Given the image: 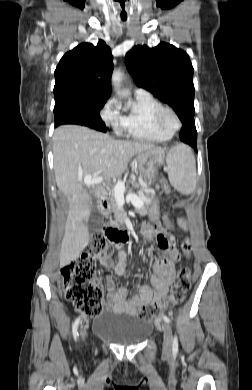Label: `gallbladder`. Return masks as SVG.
Here are the masks:
<instances>
[{
	"label": "gallbladder",
	"instance_id": "1",
	"mask_svg": "<svg viewBox=\"0 0 252 390\" xmlns=\"http://www.w3.org/2000/svg\"><path fill=\"white\" fill-rule=\"evenodd\" d=\"M103 219L98 213H94L90 216L88 221V230L90 234H94L96 231L102 229Z\"/></svg>",
	"mask_w": 252,
	"mask_h": 390
}]
</instances>
